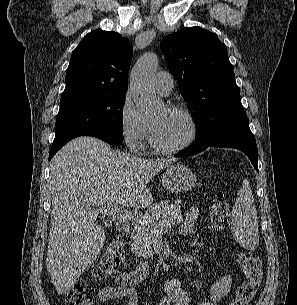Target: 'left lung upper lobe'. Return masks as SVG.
Here are the masks:
<instances>
[{"mask_svg":"<svg viewBox=\"0 0 297 305\" xmlns=\"http://www.w3.org/2000/svg\"><path fill=\"white\" fill-rule=\"evenodd\" d=\"M160 48L192 112L195 143L245 115L227 51L213 33L200 27L184 28L165 37Z\"/></svg>","mask_w":297,"mask_h":305,"instance_id":"5c2ea615","label":"left lung upper lobe"}]
</instances>
